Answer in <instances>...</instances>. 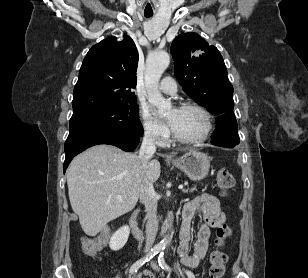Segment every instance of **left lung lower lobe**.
<instances>
[{
    "instance_id": "obj_1",
    "label": "left lung lower lobe",
    "mask_w": 308,
    "mask_h": 278,
    "mask_svg": "<svg viewBox=\"0 0 308 278\" xmlns=\"http://www.w3.org/2000/svg\"><path fill=\"white\" fill-rule=\"evenodd\" d=\"M217 127L211 143L222 147H234L239 144L237 122L234 113H223L216 121Z\"/></svg>"
}]
</instances>
